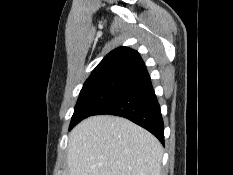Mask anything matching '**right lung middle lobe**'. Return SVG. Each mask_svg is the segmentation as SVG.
I'll list each match as a JSON object with an SVG mask.
<instances>
[{
  "label": "right lung middle lobe",
  "instance_id": "right-lung-middle-lobe-1",
  "mask_svg": "<svg viewBox=\"0 0 233 175\" xmlns=\"http://www.w3.org/2000/svg\"><path fill=\"white\" fill-rule=\"evenodd\" d=\"M134 79L122 76H105L87 79L81 89L69 129L112 100Z\"/></svg>",
  "mask_w": 233,
  "mask_h": 175
}]
</instances>
